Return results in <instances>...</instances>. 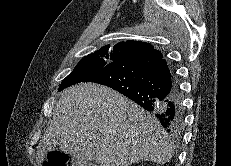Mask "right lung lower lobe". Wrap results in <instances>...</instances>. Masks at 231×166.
I'll return each instance as SVG.
<instances>
[{
  "instance_id": "right-lung-lower-lobe-1",
  "label": "right lung lower lobe",
  "mask_w": 231,
  "mask_h": 166,
  "mask_svg": "<svg viewBox=\"0 0 231 166\" xmlns=\"http://www.w3.org/2000/svg\"><path fill=\"white\" fill-rule=\"evenodd\" d=\"M82 82L115 89L154 112L168 133L181 134L184 126L182 95L177 78L160 51L117 59Z\"/></svg>"
}]
</instances>
